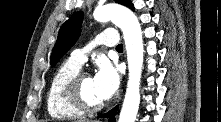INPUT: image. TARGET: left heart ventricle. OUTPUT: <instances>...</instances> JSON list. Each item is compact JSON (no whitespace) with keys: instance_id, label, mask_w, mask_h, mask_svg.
I'll return each mask as SVG.
<instances>
[{"instance_id":"obj_1","label":"left heart ventricle","mask_w":221,"mask_h":122,"mask_svg":"<svg viewBox=\"0 0 221 122\" xmlns=\"http://www.w3.org/2000/svg\"><path fill=\"white\" fill-rule=\"evenodd\" d=\"M82 92L85 99L92 104L103 102L96 92L94 80L91 76L84 78L82 82Z\"/></svg>"}]
</instances>
